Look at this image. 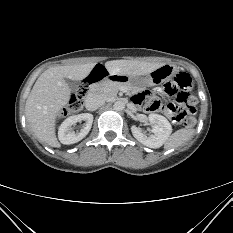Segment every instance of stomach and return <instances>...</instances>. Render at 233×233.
Returning a JSON list of instances; mask_svg holds the SVG:
<instances>
[{
  "label": "stomach",
  "instance_id": "obj_1",
  "mask_svg": "<svg viewBox=\"0 0 233 233\" xmlns=\"http://www.w3.org/2000/svg\"><path fill=\"white\" fill-rule=\"evenodd\" d=\"M177 72V68L172 64H164L158 69L147 74L146 77H133L128 75H115L114 81L130 87L132 90H138L145 86L163 83L171 79Z\"/></svg>",
  "mask_w": 233,
  "mask_h": 233
}]
</instances>
